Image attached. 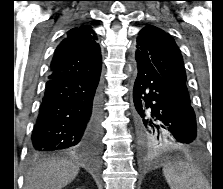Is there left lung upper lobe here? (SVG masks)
<instances>
[{"mask_svg":"<svg viewBox=\"0 0 223 189\" xmlns=\"http://www.w3.org/2000/svg\"><path fill=\"white\" fill-rule=\"evenodd\" d=\"M136 48L137 62L154 69L182 100L190 103L182 55L173 38L162 29L148 25L140 31ZM140 138L148 147L179 148L158 128L140 131Z\"/></svg>","mask_w":223,"mask_h":189,"instance_id":"obj_1","label":"left lung upper lobe"}]
</instances>
